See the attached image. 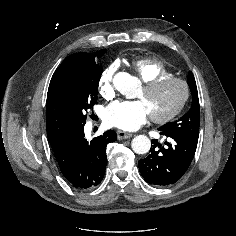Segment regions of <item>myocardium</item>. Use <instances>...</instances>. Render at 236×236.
<instances>
[{"label":"myocardium","instance_id":"myocardium-1","mask_svg":"<svg viewBox=\"0 0 236 236\" xmlns=\"http://www.w3.org/2000/svg\"><path fill=\"white\" fill-rule=\"evenodd\" d=\"M170 83H176L182 87V90H183L182 97L179 100V102L166 114L160 115V116L151 114L150 115L151 119L155 123L164 124V123L170 122L176 116H178L188 101L190 89L185 80L178 77H174V76L160 77L150 82L144 83L143 91L147 94L152 93L158 90L159 88Z\"/></svg>","mask_w":236,"mask_h":236}]
</instances>
